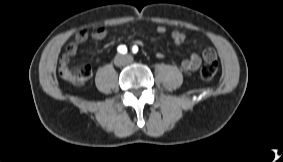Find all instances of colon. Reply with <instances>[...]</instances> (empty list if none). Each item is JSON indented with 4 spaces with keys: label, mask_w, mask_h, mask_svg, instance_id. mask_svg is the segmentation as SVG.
<instances>
[{
    "label": "colon",
    "mask_w": 283,
    "mask_h": 162,
    "mask_svg": "<svg viewBox=\"0 0 283 162\" xmlns=\"http://www.w3.org/2000/svg\"><path fill=\"white\" fill-rule=\"evenodd\" d=\"M218 72V62L216 57L209 53L200 69V75L205 80L213 79ZM59 75L62 79L75 84L82 85L90 78L91 71L88 66L70 68L65 63L59 64Z\"/></svg>",
    "instance_id": "colon-1"
}]
</instances>
